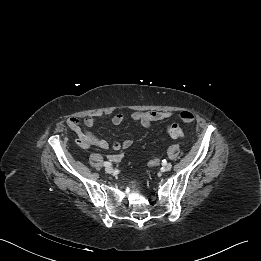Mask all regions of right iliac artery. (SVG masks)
Wrapping results in <instances>:
<instances>
[{"label": "right iliac artery", "instance_id": "1", "mask_svg": "<svg viewBox=\"0 0 261 261\" xmlns=\"http://www.w3.org/2000/svg\"><path fill=\"white\" fill-rule=\"evenodd\" d=\"M103 165H104L105 167H108V166H111V163H110V162H107V161H105V162L103 163Z\"/></svg>", "mask_w": 261, "mask_h": 261}]
</instances>
